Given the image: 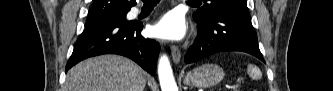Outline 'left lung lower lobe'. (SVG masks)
<instances>
[{
    "label": "left lung lower lobe",
    "instance_id": "left-lung-lower-lobe-1",
    "mask_svg": "<svg viewBox=\"0 0 333 91\" xmlns=\"http://www.w3.org/2000/svg\"><path fill=\"white\" fill-rule=\"evenodd\" d=\"M196 23L198 36L187 51L186 63L223 51L246 52L264 62L247 7L220 8L211 17Z\"/></svg>",
    "mask_w": 333,
    "mask_h": 91
}]
</instances>
